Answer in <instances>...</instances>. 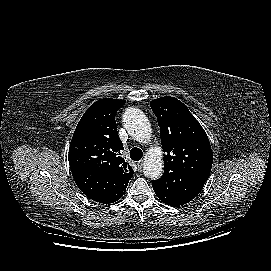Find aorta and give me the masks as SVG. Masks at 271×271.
<instances>
[{"label":"aorta","mask_w":271,"mask_h":271,"mask_svg":"<svg viewBox=\"0 0 271 271\" xmlns=\"http://www.w3.org/2000/svg\"><path fill=\"white\" fill-rule=\"evenodd\" d=\"M123 125L129 135L136 141L147 142L151 137V126L147 117L137 108H127L123 114ZM162 152L152 148L147 152L143 164V173L147 178L157 179L163 172Z\"/></svg>","instance_id":"obj_1"}]
</instances>
